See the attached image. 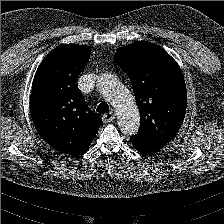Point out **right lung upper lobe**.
I'll return each mask as SVG.
<instances>
[{"label": "right lung upper lobe", "instance_id": "1", "mask_svg": "<svg viewBox=\"0 0 224 224\" xmlns=\"http://www.w3.org/2000/svg\"><path fill=\"white\" fill-rule=\"evenodd\" d=\"M90 54L88 46L60 45L43 59L32 83L30 112L37 131L51 147L72 156L89 150L102 124L76 85Z\"/></svg>", "mask_w": 224, "mask_h": 224}]
</instances>
